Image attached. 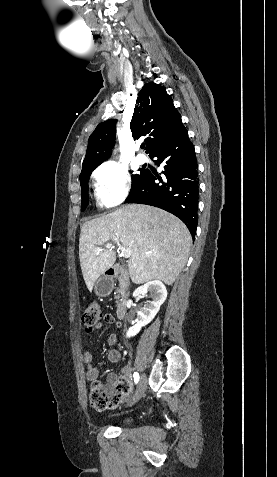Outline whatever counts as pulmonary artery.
Returning <instances> with one entry per match:
<instances>
[{
  "label": "pulmonary artery",
  "instance_id": "e3ab8cb5",
  "mask_svg": "<svg viewBox=\"0 0 277 477\" xmlns=\"http://www.w3.org/2000/svg\"><path fill=\"white\" fill-rule=\"evenodd\" d=\"M136 160H137V162H138L139 164H144V163L147 161V158H146V156L143 155V154H138V155L136 156Z\"/></svg>",
  "mask_w": 277,
  "mask_h": 477
}]
</instances>
